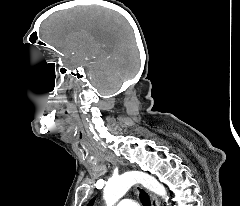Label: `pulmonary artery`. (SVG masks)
<instances>
[{"label": "pulmonary artery", "mask_w": 240, "mask_h": 206, "mask_svg": "<svg viewBox=\"0 0 240 206\" xmlns=\"http://www.w3.org/2000/svg\"><path fill=\"white\" fill-rule=\"evenodd\" d=\"M117 206H139L137 202L131 199H122Z\"/></svg>", "instance_id": "e3ab8cb5"}]
</instances>
